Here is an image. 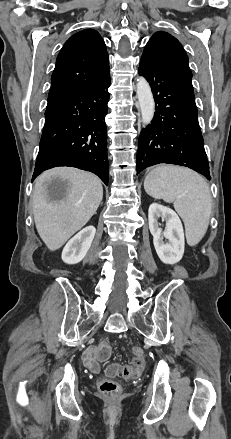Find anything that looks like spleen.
<instances>
[{"label":"spleen","mask_w":231,"mask_h":439,"mask_svg":"<svg viewBox=\"0 0 231 439\" xmlns=\"http://www.w3.org/2000/svg\"><path fill=\"white\" fill-rule=\"evenodd\" d=\"M144 189L153 198L174 204L190 246L200 242L207 231L212 207L209 187L201 175L187 168L162 165L148 173Z\"/></svg>","instance_id":"spleen-1"}]
</instances>
